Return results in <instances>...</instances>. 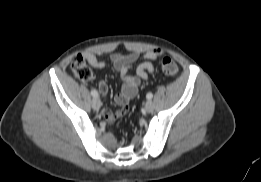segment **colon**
Here are the masks:
<instances>
[{"mask_svg":"<svg viewBox=\"0 0 261 182\" xmlns=\"http://www.w3.org/2000/svg\"><path fill=\"white\" fill-rule=\"evenodd\" d=\"M161 69L168 76H174L178 73L177 64L169 57H165L161 60ZM71 71L73 75L81 81H90L93 77L91 68L81 56L73 58L71 62Z\"/></svg>","mask_w":261,"mask_h":182,"instance_id":"colon-1","label":"colon"}]
</instances>
